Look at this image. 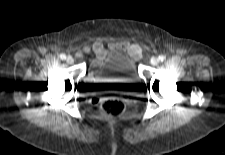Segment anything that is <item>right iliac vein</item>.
Instances as JSON below:
<instances>
[{
    "instance_id": "right-iliac-vein-1",
    "label": "right iliac vein",
    "mask_w": 225,
    "mask_h": 155,
    "mask_svg": "<svg viewBox=\"0 0 225 155\" xmlns=\"http://www.w3.org/2000/svg\"><path fill=\"white\" fill-rule=\"evenodd\" d=\"M66 62H67L68 64H73V63H74L73 57L68 56V57L66 58Z\"/></svg>"
}]
</instances>
